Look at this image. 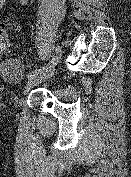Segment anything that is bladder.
<instances>
[{"label":"bladder","mask_w":131,"mask_h":177,"mask_svg":"<svg viewBox=\"0 0 131 177\" xmlns=\"http://www.w3.org/2000/svg\"><path fill=\"white\" fill-rule=\"evenodd\" d=\"M20 66L16 61H7L2 65V73L9 81H16L20 76Z\"/></svg>","instance_id":"obj_1"}]
</instances>
